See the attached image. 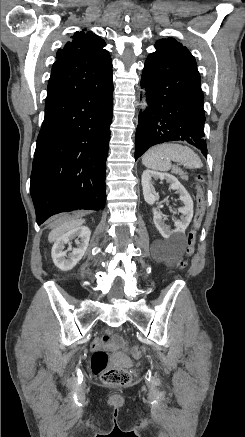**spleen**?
I'll return each instance as SVG.
<instances>
[{"instance_id":"obj_1","label":"spleen","mask_w":245,"mask_h":437,"mask_svg":"<svg viewBox=\"0 0 245 437\" xmlns=\"http://www.w3.org/2000/svg\"><path fill=\"white\" fill-rule=\"evenodd\" d=\"M142 161L147 168L166 172L171 169V161L186 168H201L200 157L188 146L176 143H164L147 150Z\"/></svg>"}]
</instances>
